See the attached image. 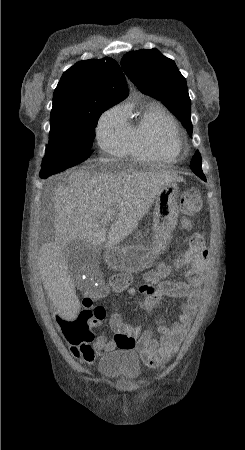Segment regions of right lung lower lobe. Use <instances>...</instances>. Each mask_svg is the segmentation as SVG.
I'll return each instance as SVG.
<instances>
[{
    "mask_svg": "<svg viewBox=\"0 0 245 450\" xmlns=\"http://www.w3.org/2000/svg\"><path fill=\"white\" fill-rule=\"evenodd\" d=\"M41 178H47L48 176H45V175H42V176H40Z\"/></svg>",
    "mask_w": 245,
    "mask_h": 450,
    "instance_id": "right-lung-lower-lobe-1",
    "label": "right lung lower lobe"
}]
</instances>
